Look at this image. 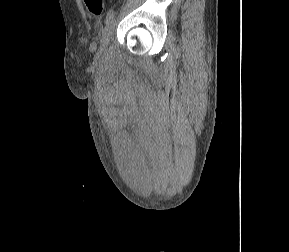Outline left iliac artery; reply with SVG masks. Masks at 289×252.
I'll return each mask as SVG.
<instances>
[{
  "instance_id": "obj_1",
  "label": "left iliac artery",
  "mask_w": 289,
  "mask_h": 252,
  "mask_svg": "<svg viewBox=\"0 0 289 252\" xmlns=\"http://www.w3.org/2000/svg\"><path fill=\"white\" fill-rule=\"evenodd\" d=\"M114 15H115L114 9H110L107 13L105 22L107 23L108 21H110L114 17Z\"/></svg>"
}]
</instances>
